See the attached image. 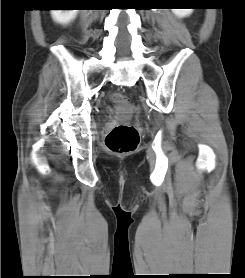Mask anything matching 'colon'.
Returning <instances> with one entry per match:
<instances>
[{"label":"colon","mask_w":245,"mask_h":278,"mask_svg":"<svg viewBox=\"0 0 245 278\" xmlns=\"http://www.w3.org/2000/svg\"><path fill=\"white\" fill-rule=\"evenodd\" d=\"M113 101L120 106H127L130 103L128 97L115 93ZM139 144L138 129L131 124L116 125L106 136L105 145L107 149L116 154H127L134 152Z\"/></svg>","instance_id":"1"}]
</instances>
